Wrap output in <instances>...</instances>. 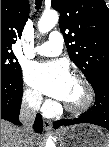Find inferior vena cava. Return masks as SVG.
Masks as SVG:
<instances>
[{
    "mask_svg": "<svg viewBox=\"0 0 109 147\" xmlns=\"http://www.w3.org/2000/svg\"><path fill=\"white\" fill-rule=\"evenodd\" d=\"M42 99L41 94H35L28 104L21 107L19 120L23 124L21 128L24 135L22 147H33L32 125L36 117L37 105L41 104Z\"/></svg>",
    "mask_w": 109,
    "mask_h": 147,
    "instance_id": "obj_1",
    "label": "inferior vena cava"
}]
</instances>
